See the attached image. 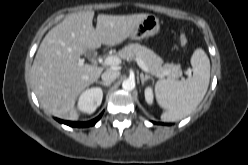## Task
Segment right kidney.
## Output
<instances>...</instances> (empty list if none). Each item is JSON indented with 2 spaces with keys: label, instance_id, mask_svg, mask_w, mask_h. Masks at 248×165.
Here are the masks:
<instances>
[{
  "label": "right kidney",
  "instance_id": "1",
  "mask_svg": "<svg viewBox=\"0 0 248 165\" xmlns=\"http://www.w3.org/2000/svg\"><path fill=\"white\" fill-rule=\"evenodd\" d=\"M102 98L103 91L101 88L87 89L79 97L78 108L84 113L92 114L101 105Z\"/></svg>",
  "mask_w": 248,
  "mask_h": 165
}]
</instances>
